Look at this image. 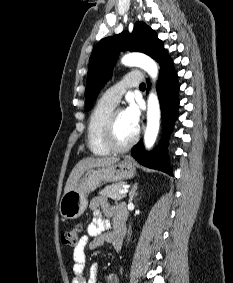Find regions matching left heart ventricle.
Instances as JSON below:
<instances>
[{
  "mask_svg": "<svg viewBox=\"0 0 233 283\" xmlns=\"http://www.w3.org/2000/svg\"><path fill=\"white\" fill-rule=\"evenodd\" d=\"M136 128L127 119L124 111L118 113L114 128V138L117 144H126L134 136Z\"/></svg>",
  "mask_w": 233,
  "mask_h": 283,
  "instance_id": "left-heart-ventricle-1",
  "label": "left heart ventricle"
}]
</instances>
